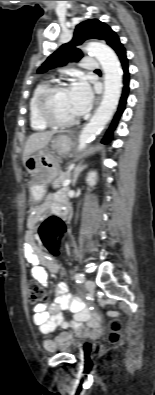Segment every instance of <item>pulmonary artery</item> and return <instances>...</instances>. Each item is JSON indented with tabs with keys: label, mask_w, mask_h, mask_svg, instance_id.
<instances>
[{
	"label": "pulmonary artery",
	"mask_w": 155,
	"mask_h": 395,
	"mask_svg": "<svg viewBox=\"0 0 155 395\" xmlns=\"http://www.w3.org/2000/svg\"><path fill=\"white\" fill-rule=\"evenodd\" d=\"M80 66L86 70L93 71L99 67V63L94 57H85L81 60Z\"/></svg>",
	"instance_id": "e3ab8cb5"
}]
</instances>
